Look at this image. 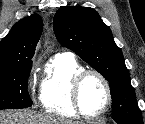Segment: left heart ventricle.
I'll return each instance as SVG.
<instances>
[{
    "label": "left heart ventricle",
    "mask_w": 145,
    "mask_h": 124,
    "mask_svg": "<svg viewBox=\"0 0 145 124\" xmlns=\"http://www.w3.org/2000/svg\"><path fill=\"white\" fill-rule=\"evenodd\" d=\"M81 102L84 111L95 114L102 110L106 102V92L102 83L96 77H89L81 91Z\"/></svg>",
    "instance_id": "left-heart-ventricle-1"
}]
</instances>
